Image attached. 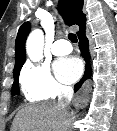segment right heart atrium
<instances>
[{"mask_svg": "<svg viewBox=\"0 0 117 131\" xmlns=\"http://www.w3.org/2000/svg\"><path fill=\"white\" fill-rule=\"evenodd\" d=\"M20 83L24 95L30 101L54 99L70 90L68 85L52 75L46 64L28 62L22 69Z\"/></svg>", "mask_w": 117, "mask_h": 131, "instance_id": "obj_1", "label": "right heart atrium"}]
</instances>
